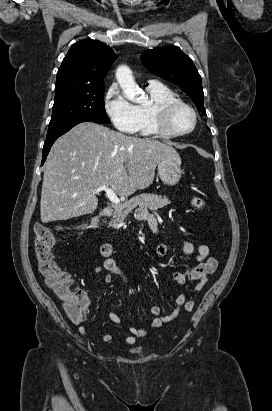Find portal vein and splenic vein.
Wrapping results in <instances>:
<instances>
[{"instance_id":"18ae733b","label":"portal vein and splenic vein","mask_w":272,"mask_h":411,"mask_svg":"<svg viewBox=\"0 0 272 411\" xmlns=\"http://www.w3.org/2000/svg\"><path fill=\"white\" fill-rule=\"evenodd\" d=\"M97 191H105L109 200L115 204L118 205L120 204V199L118 198V196L115 194V192L108 186L106 185H101L97 187Z\"/></svg>"}]
</instances>
